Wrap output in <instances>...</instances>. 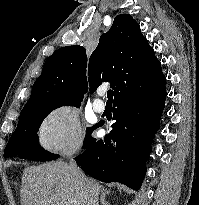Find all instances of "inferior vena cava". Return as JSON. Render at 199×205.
Wrapping results in <instances>:
<instances>
[{"instance_id": "1", "label": "inferior vena cava", "mask_w": 199, "mask_h": 205, "mask_svg": "<svg viewBox=\"0 0 199 205\" xmlns=\"http://www.w3.org/2000/svg\"><path fill=\"white\" fill-rule=\"evenodd\" d=\"M73 155H74V152H72L68 155V157L70 159L69 165H70L71 169L73 170V172L77 176L81 177V171H80L79 167L76 165L75 161L72 160Z\"/></svg>"}]
</instances>
